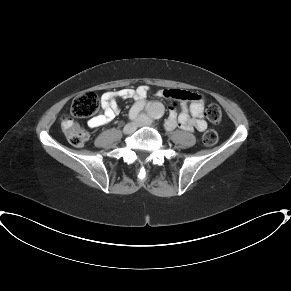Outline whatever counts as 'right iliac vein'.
Listing matches in <instances>:
<instances>
[{
	"label": "right iliac vein",
	"instance_id": "1",
	"mask_svg": "<svg viewBox=\"0 0 291 291\" xmlns=\"http://www.w3.org/2000/svg\"><path fill=\"white\" fill-rule=\"evenodd\" d=\"M138 122H131V123H128L124 129H123V132L125 134H132L133 132H135L138 128Z\"/></svg>",
	"mask_w": 291,
	"mask_h": 291
}]
</instances>
